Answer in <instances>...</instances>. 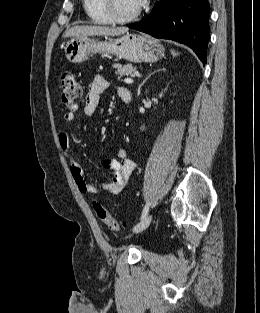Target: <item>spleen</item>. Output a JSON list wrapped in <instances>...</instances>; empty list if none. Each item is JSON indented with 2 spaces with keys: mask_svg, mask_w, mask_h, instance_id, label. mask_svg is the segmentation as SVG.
Wrapping results in <instances>:
<instances>
[{
  "mask_svg": "<svg viewBox=\"0 0 260 313\" xmlns=\"http://www.w3.org/2000/svg\"><path fill=\"white\" fill-rule=\"evenodd\" d=\"M171 54L173 55V57L178 55V52H175L174 50H171Z\"/></svg>",
  "mask_w": 260,
  "mask_h": 313,
  "instance_id": "obj_1",
  "label": "spleen"
}]
</instances>
